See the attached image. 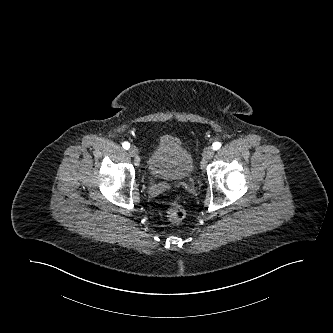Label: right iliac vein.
Instances as JSON below:
<instances>
[{"label": "right iliac vein", "instance_id": "63e3f726", "mask_svg": "<svg viewBox=\"0 0 333 333\" xmlns=\"http://www.w3.org/2000/svg\"><path fill=\"white\" fill-rule=\"evenodd\" d=\"M129 154L132 156V157H135L137 156L138 154V149L136 146H131L128 150Z\"/></svg>", "mask_w": 333, "mask_h": 333}]
</instances>
